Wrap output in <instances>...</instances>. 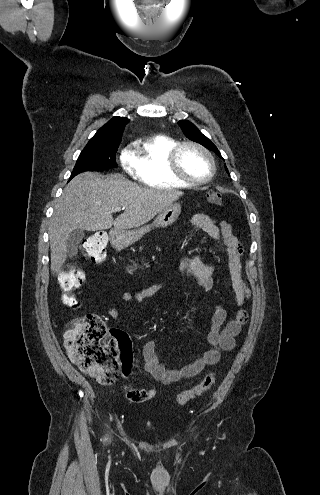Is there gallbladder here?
Wrapping results in <instances>:
<instances>
[{"label": "gallbladder", "instance_id": "1", "mask_svg": "<svg viewBox=\"0 0 320 495\" xmlns=\"http://www.w3.org/2000/svg\"><path fill=\"white\" fill-rule=\"evenodd\" d=\"M83 237H84V231L81 229L73 230L69 234L66 240L69 256H74L77 253V246L82 241Z\"/></svg>", "mask_w": 320, "mask_h": 495}]
</instances>
